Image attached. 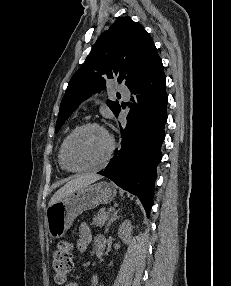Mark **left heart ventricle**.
Here are the masks:
<instances>
[{"label": "left heart ventricle", "instance_id": "b2bd125f", "mask_svg": "<svg viewBox=\"0 0 231 286\" xmlns=\"http://www.w3.org/2000/svg\"><path fill=\"white\" fill-rule=\"evenodd\" d=\"M109 141L107 136L95 128L78 132L69 142L66 152L67 164L80 168L101 160L107 153Z\"/></svg>", "mask_w": 231, "mask_h": 286}]
</instances>
